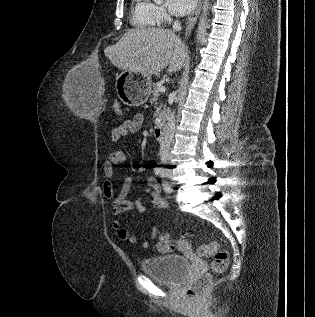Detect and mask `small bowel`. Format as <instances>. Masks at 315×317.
<instances>
[{"instance_id": "obj_1", "label": "small bowel", "mask_w": 315, "mask_h": 317, "mask_svg": "<svg viewBox=\"0 0 315 317\" xmlns=\"http://www.w3.org/2000/svg\"><path fill=\"white\" fill-rule=\"evenodd\" d=\"M144 122L143 115L138 113L133 116L132 119L126 120L123 123L115 126L111 132V141L117 142L128 133H134L140 130ZM126 161V154L121 149H116L110 153L108 159L103 165V171L105 174V181L103 184V194L111 201V211L115 217L112 226L116 232L117 237L122 241H129L131 244L140 243V246L144 249L149 247L147 240L138 241V238L131 234L130 231L125 228L121 221L117 218L121 213L137 209L140 213H146L147 207L139 198H135L130 201L127 200V196L133 190V178L127 176L121 185V188L117 194L114 192L113 179L115 176V169L122 166ZM144 191L150 196L152 208L154 210H161L167 207L166 200L161 196V187L159 183L153 177H148L144 185ZM158 234L156 227H152L150 230L151 238H155Z\"/></svg>"}]
</instances>
